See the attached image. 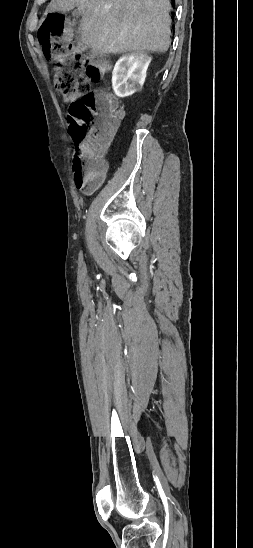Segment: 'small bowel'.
<instances>
[{"label": "small bowel", "mask_w": 253, "mask_h": 548, "mask_svg": "<svg viewBox=\"0 0 253 548\" xmlns=\"http://www.w3.org/2000/svg\"><path fill=\"white\" fill-rule=\"evenodd\" d=\"M104 177H105V173H103L101 175L100 178H98L96 181H94L93 183H90V184H87V185H81V186H77L79 189H83L86 193H92L94 192L97 187L102 183V181L104 180Z\"/></svg>", "instance_id": "1"}]
</instances>
